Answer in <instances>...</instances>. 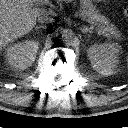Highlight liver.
Listing matches in <instances>:
<instances>
[{"label": "liver", "instance_id": "liver-1", "mask_svg": "<svg viewBox=\"0 0 128 128\" xmlns=\"http://www.w3.org/2000/svg\"><path fill=\"white\" fill-rule=\"evenodd\" d=\"M42 8H32L20 0H0V52L18 37L27 34L36 24Z\"/></svg>", "mask_w": 128, "mask_h": 128}]
</instances>
